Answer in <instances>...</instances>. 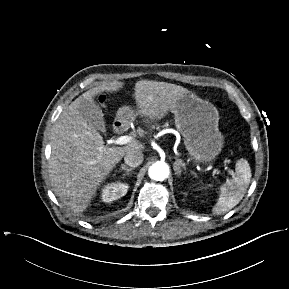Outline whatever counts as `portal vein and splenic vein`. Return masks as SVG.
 Returning a JSON list of instances; mask_svg holds the SVG:
<instances>
[{
	"instance_id": "portal-vein-and-splenic-vein-1",
	"label": "portal vein and splenic vein",
	"mask_w": 289,
	"mask_h": 289,
	"mask_svg": "<svg viewBox=\"0 0 289 289\" xmlns=\"http://www.w3.org/2000/svg\"><path fill=\"white\" fill-rule=\"evenodd\" d=\"M132 139H133L132 136H128V135L120 136L117 139H115L113 141V143L116 144V145H124V144H127V143L131 142ZM225 170L227 171L228 175H232V176L235 175V173H234V171L232 169L226 167Z\"/></svg>"
}]
</instances>
